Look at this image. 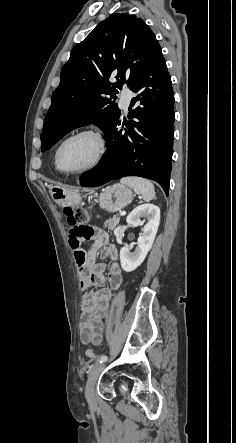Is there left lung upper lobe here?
Returning <instances> with one entry per match:
<instances>
[{
  "label": "left lung upper lobe",
  "instance_id": "obj_1",
  "mask_svg": "<svg viewBox=\"0 0 236 443\" xmlns=\"http://www.w3.org/2000/svg\"><path fill=\"white\" fill-rule=\"evenodd\" d=\"M156 44L149 26L129 14H113L76 44L52 94L40 136L42 151L91 123L106 134L120 116L111 98L116 99L124 83L130 86L135 81ZM111 75L116 83L109 81Z\"/></svg>",
  "mask_w": 236,
  "mask_h": 443
}]
</instances>
